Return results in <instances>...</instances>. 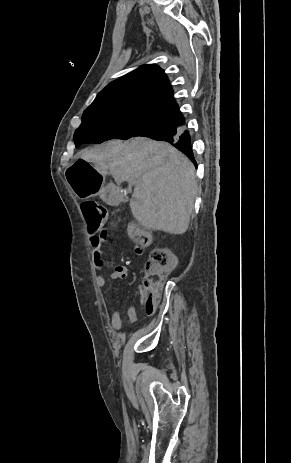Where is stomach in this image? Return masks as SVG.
Segmentation results:
<instances>
[{"instance_id": "stomach-1", "label": "stomach", "mask_w": 291, "mask_h": 463, "mask_svg": "<svg viewBox=\"0 0 291 463\" xmlns=\"http://www.w3.org/2000/svg\"><path fill=\"white\" fill-rule=\"evenodd\" d=\"M65 181L70 183L74 193L80 199L100 195L106 203L115 202L114 188L105 186L103 176L83 157H80L73 166L67 169Z\"/></svg>"}]
</instances>
